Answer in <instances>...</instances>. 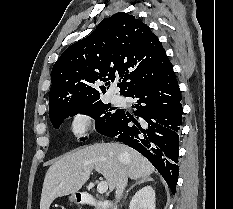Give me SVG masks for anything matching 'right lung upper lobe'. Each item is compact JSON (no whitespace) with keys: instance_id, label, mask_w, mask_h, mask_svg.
I'll list each match as a JSON object with an SVG mask.
<instances>
[{"instance_id":"cb5924a9","label":"right lung upper lobe","mask_w":233,"mask_h":209,"mask_svg":"<svg viewBox=\"0 0 233 209\" xmlns=\"http://www.w3.org/2000/svg\"><path fill=\"white\" fill-rule=\"evenodd\" d=\"M150 28L128 13L103 19L86 38L69 46L53 66L49 113L61 106L100 100L120 77V94L157 80L171 66ZM101 82L105 85L99 86Z\"/></svg>"}]
</instances>
